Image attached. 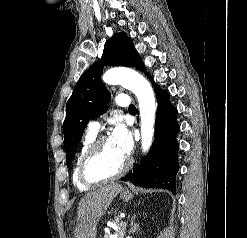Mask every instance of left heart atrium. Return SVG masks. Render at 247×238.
<instances>
[{"mask_svg": "<svg viewBox=\"0 0 247 238\" xmlns=\"http://www.w3.org/2000/svg\"><path fill=\"white\" fill-rule=\"evenodd\" d=\"M110 140L116 149L127 157L132 149V138L130 132L123 124H117L111 133Z\"/></svg>", "mask_w": 247, "mask_h": 238, "instance_id": "39dd6f15", "label": "left heart atrium"}]
</instances>
